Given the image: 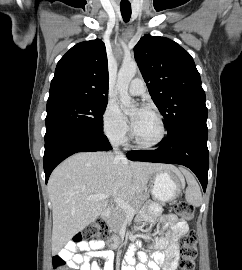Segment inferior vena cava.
I'll return each instance as SVG.
<instances>
[{
    "label": "inferior vena cava",
    "mask_w": 242,
    "mask_h": 270,
    "mask_svg": "<svg viewBox=\"0 0 242 270\" xmlns=\"http://www.w3.org/2000/svg\"><path fill=\"white\" fill-rule=\"evenodd\" d=\"M113 150L117 158L119 159H125V156L122 152L119 151L118 145L115 144L113 145Z\"/></svg>",
    "instance_id": "602c4592"
}]
</instances>
